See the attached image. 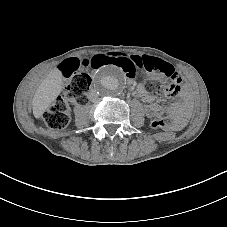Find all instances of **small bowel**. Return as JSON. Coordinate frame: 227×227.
Here are the masks:
<instances>
[{"label":"small bowel","instance_id":"c3829d8e","mask_svg":"<svg viewBox=\"0 0 227 227\" xmlns=\"http://www.w3.org/2000/svg\"><path fill=\"white\" fill-rule=\"evenodd\" d=\"M181 89L182 88H180V90ZM138 94L141 97V99L146 103L145 111L147 116H149L150 118H156L165 112V109L155 102L154 95L148 92L145 87L139 86ZM167 111L178 117L179 125L184 123L188 115L186 104L181 101L173 104L170 108H168Z\"/></svg>","mask_w":227,"mask_h":227}]
</instances>
